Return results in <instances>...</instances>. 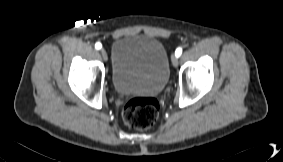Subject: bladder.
<instances>
[{"label":"bladder","instance_id":"obj_1","mask_svg":"<svg viewBox=\"0 0 283 162\" xmlns=\"http://www.w3.org/2000/svg\"><path fill=\"white\" fill-rule=\"evenodd\" d=\"M169 75V57L157 38L134 34L114 42L111 82L118 94L157 95L166 87Z\"/></svg>","mask_w":283,"mask_h":162}]
</instances>
